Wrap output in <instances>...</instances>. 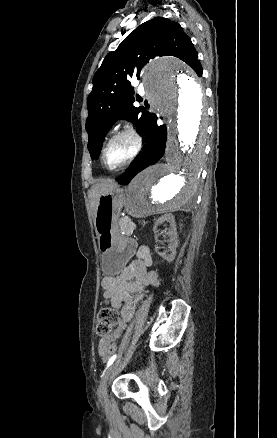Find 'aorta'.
I'll return each mask as SVG.
<instances>
[{
	"instance_id": "aorta-1",
	"label": "aorta",
	"mask_w": 277,
	"mask_h": 438,
	"mask_svg": "<svg viewBox=\"0 0 277 438\" xmlns=\"http://www.w3.org/2000/svg\"><path fill=\"white\" fill-rule=\"evenodd\" d=\"M147 96L167 120L169 139L164 162L131 182L127 212L137 218L167 213L194 196L204 160L205 107L201 83L177 60L161 57L143 72Z\"/></svg>"
}]
</instances>
